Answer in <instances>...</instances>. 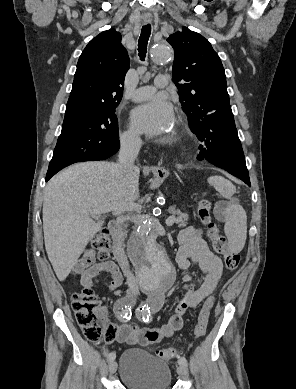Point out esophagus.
I'll list each match as a JSON object with an SVG mask.
<instances>
[{
	"instance_id": "1",
	"label": "esophagus",
	"mask_w": 296,
	"mask_h": 389,
	"mask_svg": "<svg viewBox=\"0 0 296 389\" xmlns=\"http://www.w3.org/2000/svg\"><path fill=\"white\" fill-rule=\"evenodd\" d=\"M150 20L149 19H146L145 22L148 23Z\"/></svg>"
}]
</instances>
